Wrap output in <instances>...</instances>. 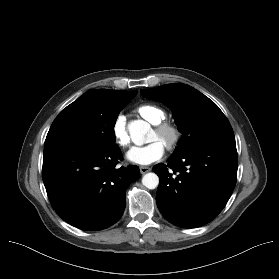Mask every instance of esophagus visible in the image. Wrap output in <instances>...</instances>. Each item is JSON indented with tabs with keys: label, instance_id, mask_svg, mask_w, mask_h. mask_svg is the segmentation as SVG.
I'll return each instance as SVG.
<instances>
[{
	"label": "esophagus",
	"instance_id": "1",
	"mask_svg": "<svg viewBox=\"0 0 279 279\" xmlns=\"http://www.w3.org/2000/svg\"><path fill=\"white\" fill-rule=\"evenodd\" d=\"M151 171V168L148 166H140V172L141 174H145L147 172Z\"/></svg>",
	"mask_w": 279,
	"mask_h": 279
}]
</instances>
